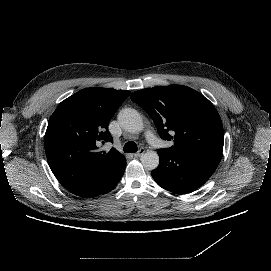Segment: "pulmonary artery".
Wrapping results in <instances>:
<instances>
[{
    "label": "pulmonary artery",
    "instance_id": "e3ab8cb5",
    "mask_svg": "<svg viewBox=\"0 0 271 271\" xmlns=\"http://www.w3.org/2000/svg\"><path fill=\"white\" fill-rule=\"evenodd\" d=\"M147 137H148V139L150 140L151 137H152L151 133H148Z\"/></svg>",
    "mask_w": 271,
    "mask_h": 271
}]
</instances>
